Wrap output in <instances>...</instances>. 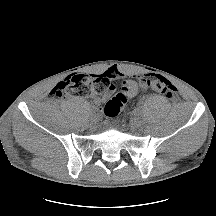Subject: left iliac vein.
<instances>
[{
    "label": "left iliac vein",
    "mask_w": 216,
    "mask_h": 216,
    "mask_svg": "<svg viewBox=\"0 0 216 216\" xmlns=\"http://www.w3.org/2000/svg\"><path fill=\"white\" fill-rule=\"evenodd\" d=\"M141 125H142V122L138 117L132 118V120L130 122V127L132 130L138 129Z\"/></svg>",
    "instance_id": "4c4485c4"
}]
</instances>
